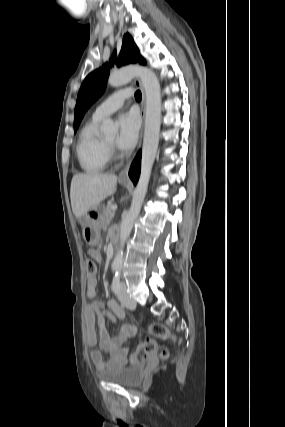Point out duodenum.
<instances>
[{"label":"duodenum","instance_id":"410a0bca","mask_svg":"<svg viewBox=\"0 0 285 427\" xmlns=\"http://www.w3.org/2000/svg\"><path fill=\"white\" fill-rule=\"evenodd\" d=\"M118 242V235L115 232H112L109 240V253L112 254L113 248Z\"/></svg>","mask_w":285,"mask_h":427}]
</instances>
